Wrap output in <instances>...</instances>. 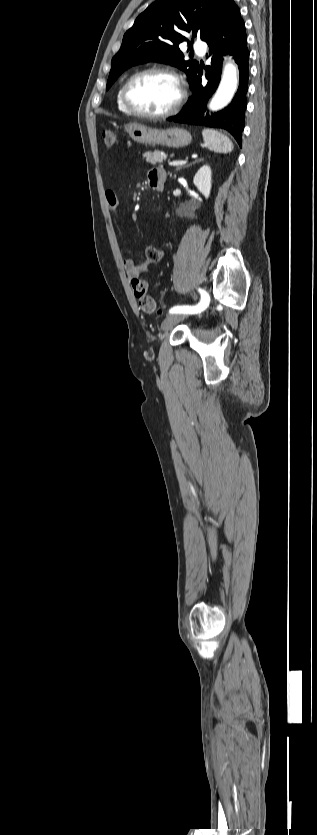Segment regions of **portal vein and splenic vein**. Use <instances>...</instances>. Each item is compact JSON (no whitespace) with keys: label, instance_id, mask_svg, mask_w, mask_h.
<instances>
[{"label":"portal vein and splenic vein","instance_id":"1","mask_svg":"<svg viewBox=\"0 0 317 835\" xmlns=\"http://www.w3.org/2000/svg\"><path fill=\"white\" fill-rule=\"evenodd\" d=\"M184 163H185L184 161L175 160V161H172V162H168V166H179V165H182Z\"/></svg>","mask_w":317,"mask_h":835}]
</instances>
